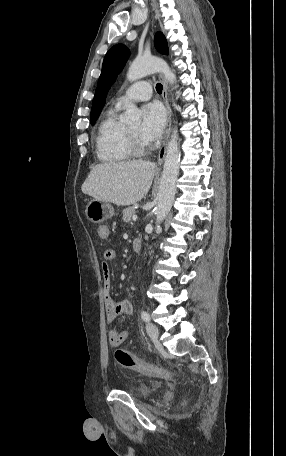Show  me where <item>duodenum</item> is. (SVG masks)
Masks as SVG:
<instances>
[{"instance_id": "duodenum-1", "label": "duodenum", "mask_w": 286, "mask_h": 456, "mask_svg": "<svg viewBox=\"0 0 286 456\" xmlns=\"http://www.w3.org/2000/svg\"><path fill=\"white\" fill-rule=\"evenodd\" d=\"M141 245H142V241H141L140 238L133 239V241H132V249H133V251L139 252L141 250Z\"/></svg>"}]
</instances>
